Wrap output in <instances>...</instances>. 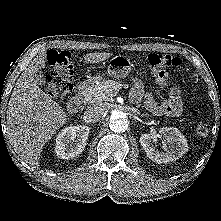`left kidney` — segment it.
Returning a JSON list of instances; mask_svg holds the SVG:
<instances>
[{"instance_id":"1","label":"left kidney","mask_w":221,"mask_h":221,"mask_svg":"<svg viewBox=\"0 0 221 221\" xmlns=\"http://www.w3.org/2000/svg\"><path fill=\"white\" fill-rule=\"evenodd\" d=\"M160 133L165 137V140L162 142L164 152H159L157 149V137L153 134H142L139 140L147 157L152 161L169 163L177 160L188 151L187 140L177 128L162 127Z\"/></svg>"}]
</instances>
